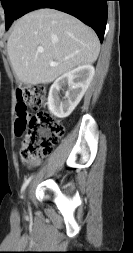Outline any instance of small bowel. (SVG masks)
<instances>
[{
  "label": "small bowel",
  "mask_w": 133,
  "mask_h": 253,
  "mask_svg": "<svg viewBox=\"0 0 133 253\" xmlns=\"http://www.w3.org/2000/svg\"><path fill=\"white\" fill-rule=\"evenodd\" d=\"M38 162H39V161L37 160V161H35L34 163L37 164Z\"/></svg>",
  "instance_id": "1"
}]
</instances>
